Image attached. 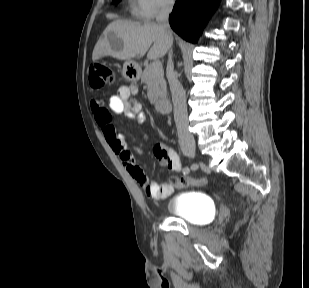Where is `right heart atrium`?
I'll return each instance as SVG.
<instances>
[{
  "label": "right heart atrium",
  "mask_w": 309,
  "mask_h": 288,
  "mask_svg": "<svg viewBox=\"0 0 309 288\" xmlns=\"http://www.w3.org/2000/svg\"><path fill=\"white\" fill-rule=\"evenodd\" d=\"M138 15L144 18H154L163 11L170 10L175 0H134Z\"/></svg>",
  "instance_id": "right-heart-atrium-1"
}]
</instances>
